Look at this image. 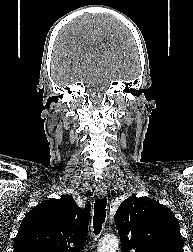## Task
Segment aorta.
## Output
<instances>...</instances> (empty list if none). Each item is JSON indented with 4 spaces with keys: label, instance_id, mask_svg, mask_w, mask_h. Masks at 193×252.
Masks as SVG:
<instances>
[{
    "label": "aorta",
    "instance_id": "aorta-1",
    "mask_svg": "<svg viewBox=\"0 0 193 252\" xmlns=\"http://www.w3.org/2000/svg\"><path fill=\"white\" fill-rule=\"evenodd\" d=\"M119 240L115 236L104 237L100 240L98 252H116Z\"/></svg>",
    "mask_w": 193,
    "mask_h": 252
}]
</instances>
